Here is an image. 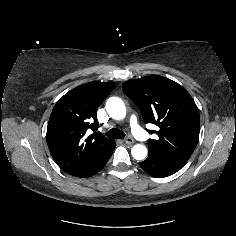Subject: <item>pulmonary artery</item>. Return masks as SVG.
<instances>
[{
	"label": "pulmonary artery",
	"instance_id": "obj_1",
	"mask_svg": "<svg viewBox=\"0 0 236 236\" xmlns=\"http://www.w3.org/2000/svg\"><path fill=\"white\" fill-rule=\"evenodd\" d=\"M130 123L133 132L135 133L136 137L141 141H147L150 137L149 134L146 133L138 124L137 118L135 115L130 117Z\"/></svg>",
	"mask_w": 236,
	"mask_h": 236
}]
</instances>
